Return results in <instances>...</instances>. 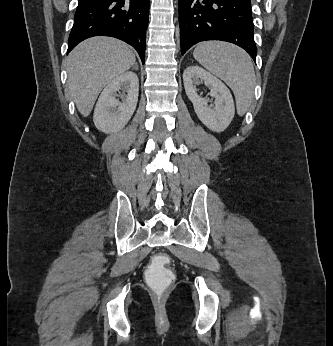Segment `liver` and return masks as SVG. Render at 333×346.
Returning <instances> with one entry per match:
<instances>
[{
	"mask_svg": "<svg viewBox=\"0 0 333 346\" xmlns=\"http://www.w3.org/2000/svg\"><path fill=\"white\" fill-rule=\"evenodd\" d=\"M129 46L110 37H92L67 57L68 91L78 111L87 117L101 90L135 64Z\"/></svg>",
	"mask_w": 333,
	"mask_h": 346,
	"instance_id": "liver-1",
	"label": "liver"
}]
</instances>
